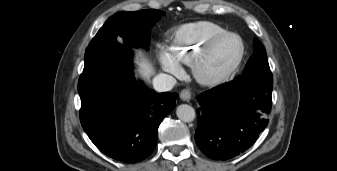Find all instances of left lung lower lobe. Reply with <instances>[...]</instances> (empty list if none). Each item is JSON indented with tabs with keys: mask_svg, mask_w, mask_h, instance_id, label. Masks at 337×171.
Returning <instances> with one entry per match:
<instances>
[{
	"mask_svg": "<svg viewBox=\"0 0 337 171\" xmlns=\"http://www.w3.org/2000/svg\"><path fill=\"white\" fill-rule=\"evenodd\" d=\"M273 80L243 77L198 96L199 149L214 160H228L246 151L268 124Z\"/></svg>",
	"mask_w": 337,
	"mask_h": 171,
	"instance_id": "left-lung-lower-lobe-1",
	"label": "left lung lower lobe"
}]
</instances>
